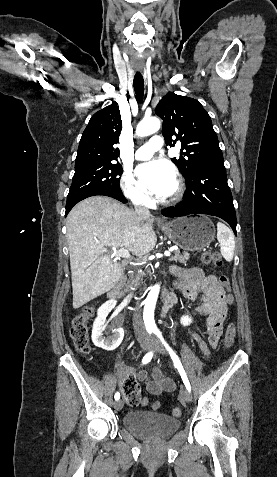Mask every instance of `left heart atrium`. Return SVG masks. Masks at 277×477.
Returning a JSON list of instances; mask_svg holds the SVG:
<instances>
[{
    "label": "left heart atrium",
    "instance_id": "39dd6f15",
    "mask_svg": "<svg viewBox=\"0 0 277 477\" xmlns=\"http://www.w3.org/2000/svg\"><path fill=\"white\" fill-rule=\"evenodd\" d=\"M142 185L159 198L171 195L176 187V172L166 160L158 159L137 167Z\"/></svg>",
    "mask_w": 277,
    "mask_h": 477
}]
</instances>
